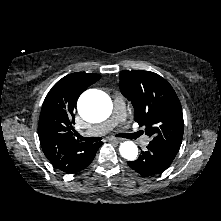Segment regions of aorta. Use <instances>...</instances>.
Segmentation results:
<instances>
[{
  "mask_svg": "<svg viewBox=\"0 0 221 221\" xmlns=\"http://www.w3.org/2000/svg\"><path fill=\"white\" fill-rule=\"evenodd\" d=\"M78 112L88 122L102 121L111 113L110 99L99 92H86L78 100ZM119 151L127 160H134L138 155V148L132 141L121 143Z\"/></svg>",
  "mask_w": 221,
  "mask_h": 221,
  "instance_id": "1",
  "label": "aorta"
}]
</instances>
